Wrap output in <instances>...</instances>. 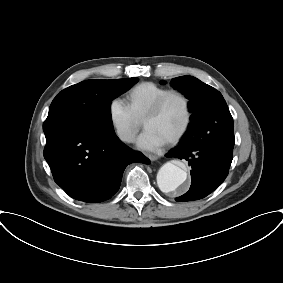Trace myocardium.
I'll list each match as a JSON object with an SVG mask.
<instances>
[{
    "instance_id": "f54148a6",
    "label": "myocardium",
    "mask_w": 283,
    "mask_h": 283,
    "mask_svg": "<svg viewBox=\"0 0 283 283\" xmlns=\"http://www.w3.org/2000/svg\"><path fill=\"white\" fill-rule=\"evenodd\" d=\"M173 96H177L183 100L186 117L181 129L173 137H171L166 141V143L168 144H174L177 143L179 140H181L191 125L193 118V109L189 96L181 90L170 89L156 100V102L151 106V108L148 110V112L143 118V126L145 127L146 122L151 118L157 116L160 113V111L163 109L168 99Z\"/></svg>"
}]
</instances>
